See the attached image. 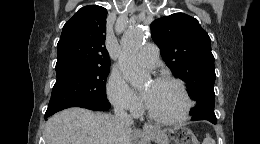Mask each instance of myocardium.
I'll return each instance as SVG.
<instances>
[{
	"mask_svg": "<svg viewBox=\"0 0 260 144\" xmlns=\"http://www.w3.org/2000/svg\"><path fill=\"white\" fill-rule=\"evenodd\" d=\"M154 82L170 83V84H174L175 86H177L185 98L186 106H185V110L181 116L175 117V118H170V117H165V116H162V115H159V114L153 112L146 102L145 108H146L148 116L155 121L165 123V124H179V123L185 122L189 118L192 107H193V101H192V98L190 96V93H189L185 83L183 81H181L180 79L170 77V76L159 77V78L155 79Z\"/></svg>",
	"mask_w": 260,
	"mask_h": 144,
	"instance_id": "myocardium-1",
	"label": "myocardium"
}]
</instances>
